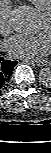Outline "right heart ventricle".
<instances>
[{
	"instance_id": "right-heart-ventricle-1",
	"label": "right heart ventricle",
	"mask_w": 51,
	"mask_h": 153,
	"mask_svg": "<svg viewBox=\"0 0 51 153\" xmlns=\"http://www.w3.org/2000/svg\"><path fill=\"white\" fill-rule=\"evenodd\" d=\"M39 11L44 12L51 8V0H29Z\"/></svg>"
}]
</instances>
